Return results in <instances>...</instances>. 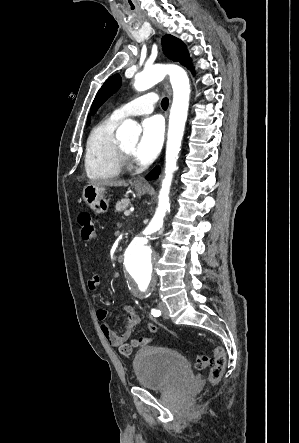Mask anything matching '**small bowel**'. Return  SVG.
Returning <instances> with one entry per match:
<instances>
[{
	"label": "small bowel",
	"mask_w": 299,
	"mask_h": 443,
	"mask_svg": "<svg viewBox=\"0 0 299 443\" xmlns=\"http://www.w3.org/2000/svg\"><path fill=\"white\" fill-rule=\"evenodd\" d=\"M100 283V276L94 274L89 281V288L91 290L97 289ZM122 310L126 313V319L122 330L119 334L111 330L107 324L103 323L102 330L110 346L119 348L122 354H129L133 348H145L152 342V337L148 334L131 338L134 327L139 323V316L131 305H125ZM98 320L104 322L108 316V311L100 308L96 312ZM146 328L149 332L155 333L158 330L157 325L147 323ZM130 339V343H126Z\"/></svg>",
	"instance_id": "obj_1"
}]
</instances>
